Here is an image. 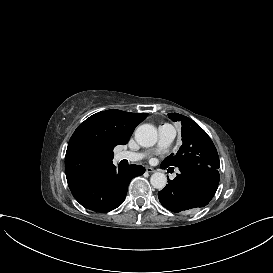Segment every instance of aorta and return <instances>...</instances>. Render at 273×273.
I'll return each instance as SVG.
<instances>
[{"label":"aorta","instance_id":"1","mask_svg":"<svg viewBox=\"0 0 273 273\" xmlns=\"http://www.w3.org/2000/svg\"><path fill=\"white\" fill-rule=\"evenodd\" d=\"M157 129L151 124L140 125L135 131L136 141L143 147H151L157 142ZM151 185L162 190L167 184V177L164 173L156 172L151 175Z\"/></svg>","mask_w":273,"mask_h":273}]
</instances>
